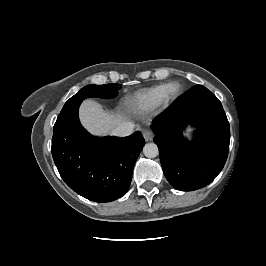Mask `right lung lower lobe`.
<instances>
[{
  "instance_id": "obj_1",
  "label": "right lung lower lobe",
  "mask_w": 266,
  "mask_h": 266,
  "mask_svg": "<svg viewBox=\"0 0 266 266\" xmlns=\"http://www.w3.org/2000/svg\"><path fill=\"white\" fill-rule=\"evenodd\" d=\"M80 103L60 112L54 125L52 156L65 183L95 202L122 197L145 145L140 132L128 137H94L80 124Z\"/></svg>"
}]
</instances>
